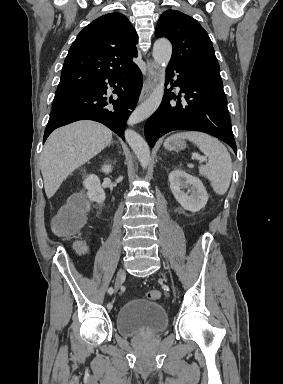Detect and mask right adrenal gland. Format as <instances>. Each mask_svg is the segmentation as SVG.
I'll return each instance as SVG.
<instances>
[{"label": "right adrenal gland", "instance_id": "obj_1", "mask_svg": "<svg viewBox=\"0 0 283 384\" xmlns=\"http://www.w3.org/2000/svg\"><path fill=\"white\" fill-rule=\"evenodd\" d=\"M110 144H113V142H110ZM110 144H109V146H110ZM116 144H117V142H116Z\"/></svg>", "mask_w": 283, "mask_h": 384}]
</instances>
